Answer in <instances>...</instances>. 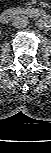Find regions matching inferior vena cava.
Masks as SVG:
<instances>
[{"label": "inferior vena cava", "mask_w": 51, "mask_h": 153, "mask_svg": "<svg viewBox=\"0 0 51 153\" xmlns=\"http://www.w3.org/2000/svg\"><path fill=\"white\" fill-rule=\"evenodd\" d=\"M29 23L28 17L24 15H17L12 20V25L16 28L26 27Z\"/></svg>", "instance_id": "602c4592"}]
</instances>
